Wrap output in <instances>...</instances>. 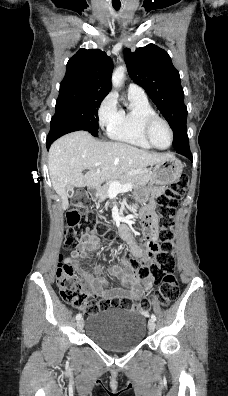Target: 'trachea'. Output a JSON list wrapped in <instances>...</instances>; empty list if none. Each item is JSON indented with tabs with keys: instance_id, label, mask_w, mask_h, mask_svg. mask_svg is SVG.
Here are the masks:
<instances>
[{
	"instance_id": "obj_1",
	"label": "trachea",
	"mask_w": 228,
	"mask_h": 396,
	"mask_svg": "<svg viewBox=\"0 0 228 396\" xmlns=\"http://www.w3.org/2000/svg\"><path fill=\"white\" fill-rule=\"evenodd\" d=\"M114 9H115V10H119V9H120V6H114Z\"/></svg>"
}]
</instances>
